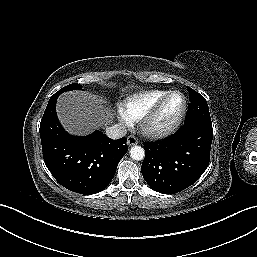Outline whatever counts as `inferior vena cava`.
Returning <instances> with one entry per match:
<instances>
[{"mask_svg": "<svg viewBox=\"0 0 257 257\" xmlns=\"http://www.w3.org/2000/svg\"><path fill=\"white\" fill-rule=\"evenodd\" d=\"M127 133V130L121 124H115L106 128V135L111 139H119L124 137Z\"/></svg>", "mask_w": 257, "mask_h": 257, "instance_id": "1", "label": "inferior vena cava"}]
</instances>
